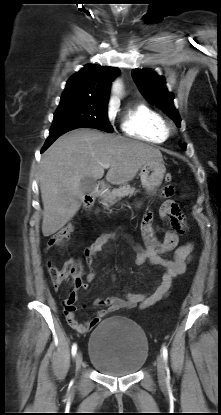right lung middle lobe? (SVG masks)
<instances>
[{"instance_id":"dd1d6c3e","label":"right lung middle lobe","mask_w":221,"mask_h":415,"mask_svg":"<svg viewBox=\"0 0 221 415\" xmlns=\"http://www.w3.org/2000/svg\"><path fill=\"white\" fill-rule=\"evenodd\" d=\"M81 127L113 132L107 117V101L61 97L50 133L67 132Z\"/></svg>"}]
</instances>
